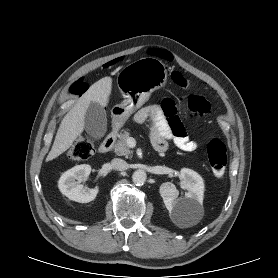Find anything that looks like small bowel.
I'll use <instances>...</instances> for the list:
<instances>
[{
	"label": "small bowel",
	"mask_w": 278,
	"mask_h": 278,
	"mask_svg": "<svg viewBox=\"0 0 278 278\" xmlns=\"http://www.w3.org/2000/svg\"><path fill=\"white\" fill-rule=\"evenodd\" d=\"M133 121L150 122L151 140L158 151L166 150L168 140H173L184 151H194L197 148V143L187 135L170 99H164L161 105L151 104L142 108L133 116Z\"/></svg>",
	"instance_id": "small-bowel-1"
}]
</instances>
